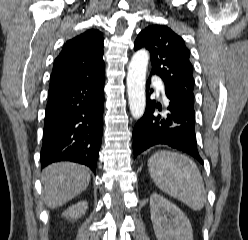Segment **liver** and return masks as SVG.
<instances>
[{
  "instance_id": "1",
  "label": "liver",
  "mask_w": 248,
  "mask_h": 240,
  "mask_svg": "<svg viewBox=\"0 0 248 240\" xmlns=\"http://www.w3.org/2000/svg\"><path fill=\"white\" fill-rule=\"evenodd\" d=\"M45 204L55 209L82 193L90 182V171L85 166L59 162L46 167L41 175Z\"/></svg>"
}]
</instances>
